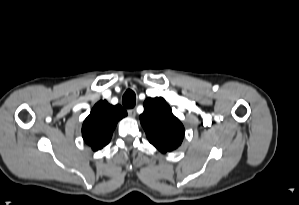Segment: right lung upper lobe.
<instances>
[{"instance_id": "cb5924a9", "label": "right lung upper lobe", "mask_w": 299, "mask_h": 205, "mask_svg": "<svg viewBox=\"0 0 299 205\" xmlns=\"http://www.w3.org/2000/svg\"><path fill=\"white\" fill-rule=\"evenodd\" d=\"M127 112L120 105H110L99 101L91 110L82 126L84 141L94 150L103 148L110 142L112 133L120 119Z\"/></svg>"}]
</instances>
